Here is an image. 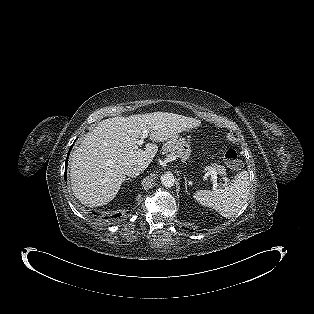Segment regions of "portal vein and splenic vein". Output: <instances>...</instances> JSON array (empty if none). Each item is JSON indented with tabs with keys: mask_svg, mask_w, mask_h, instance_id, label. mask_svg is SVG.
<instances>
[{
	"mask_svg": "<svg viewBox=\"0 0 314 314\" xmlns=\"http://www.w3.org/2000/svg\"><path fill=\"white\" fill-rule=\"evenodd\" d=\"M148 136V130H143V134L140 140L137 141L138 145H142L144 143V139L147 138ZM208 172L211 174V179L213 181V187L216 188L217 187V172L214 168H207ZM225 182L227 183L228 180L227 178H225Z\"/></svg>",
	"mask_w": 314,
	"mask_h": 314,
	"instance_id": "obj_1",
	"label": "portal vein and splenic vein"
}]
</instances>
